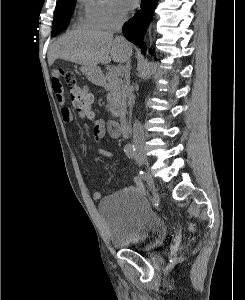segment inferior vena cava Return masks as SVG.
Masks as SVG:
<instances>
[{"mask_svg": "<svg viewBox=\"0 0 245 300\" xmlns=\"http://www.w3.org/2000/svg\"><path fill=\"white\" fill-rule=\"evenodd\" d=\"M126 20L125 15H119L114 22L113 25V31L120 33L122 30V26ZM120 39H124L123 37H119ZM124 75H125V93L128 98V104L130 109L134 106V95H133V89L130 85V62L129 60L126 61V66L124 68ZM133 143L136 148V151H141L143 148L144 143V136L143 131L141 128L140 123L136 120L133 125Z\"/></svg>", "mask_w": 245, "mask_h": 300, "instance_id": "1", "label": "inferior vena cava"}]
</instances>
